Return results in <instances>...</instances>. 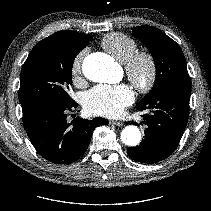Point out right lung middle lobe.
<instances>
[{
    "label": "right lung middle lobe",
    "instance_id": "right-lung-middle-lobe-1",
    "mask_svg": "<svg viewBox=\"0 0 211 211\" xmlns=\"http://www.w3.org/2000/svg\"><path fill=\"white\" fill-rule=\"evenodd\" d=\"M91 36L56 43L46 38L32 49L23 64L18 92L22 111L40 103L71 104L72 66Z\"/></svg>",
    "mask_w": 211,
    "mask_h": 211
}]
</instances>
